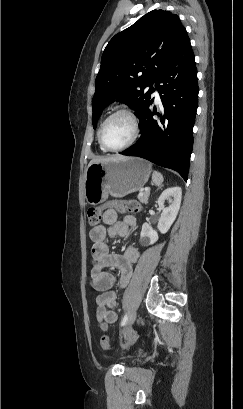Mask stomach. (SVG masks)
<instances>
[{"instance_id":"stomach-1","label":"stomach","mask_w":243,"mask_h":409,"mask_svg":"<svg viewBox=\"0 0 243 409\" xmlns=\"http://www.w3.org/2000/svg\"><path fill=\"white\" fill-rule=\"evenodd\" d=\"M151 165L136 157H115L91 162L84 175V197L90 205L100 204L109 196L122 198L143 188Z\"/></svg>"}]
</instances>
